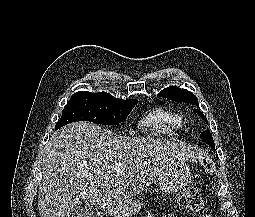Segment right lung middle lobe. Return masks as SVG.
<instances>
[{
  "label": "right lung middle lobe",
  "mask_w": 255,
  "mask_h": 217,
  "mask_svg": "<svg viewBox=\"0 0 255 217\" xmlns=\"http://www.w3.org/2000/svg\"><path fill=\"white\" fill-rule=\"evenodd\" d=\"M138 100H122L108 93L77 92L64 107L55 129L75 121H90L102 125H116L131 112Z\"/></svg>",
  "instance_id": "right-lung-middle-lobe-1"
}]
</instances>
